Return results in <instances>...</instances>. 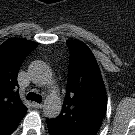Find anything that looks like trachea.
I'll use <instances>...</instances> for the list:
<instances>
[{
  "label": "trachea",
  "mask_w": 135,
  "mask_h": 135,
  "mask_svg": "<svg viewBox=\"0 0 135 135\" xmlns=\"http://www.w3.org/2000/svg\"><path fill=\"white\" fill-rule=\"evenodd\" d=\"M26 98L28 100L35 101L37 103H41L42 102V96L41 95H37V94H35L33 92L28 93Z\"/></svg>",
  "instance_id": "1"
}]
</instances>
